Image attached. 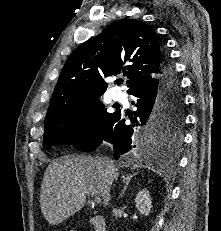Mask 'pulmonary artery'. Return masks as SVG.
<instances>
[{
	"mask_svg": "<svg viewBox=\"0 0 221 231\" xmlns=\"http://www.w3.org/2000/svg\"><path fill=\"white\" fill-rule=\"evenodd\" d=\"M113 99L118 101V102L124 103V104L127 103V98H126L125 93L120 91V90L115 91L113 93Z\"/></svg>",
	"mask_w": 221,
	"mask_h": 231,
	"instance_id": "1",
	"label": "pulmonary artery"
}]
</instances>
